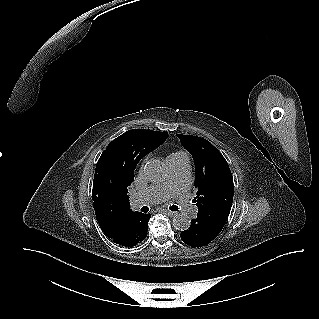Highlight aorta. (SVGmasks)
I'll return each mask as SVG.
<instances>
[{
    "mask_svg": "<svg viewBox=\"0 0 319 319\" xmlns=\"http://www.w3.org/2000/svg\"><path fill=\"white\" fill-rule=\"evenodd\" d=\"M145 176L153 182H159L165 179L167 168L164 162L158 159L150 160L144 166ZM172 224L177 230H187L190 227L191 220L188 215L178 213L173 217Z\"/></svg>",
    "mask_w": 319,
    "mask_h": 319,
    "instance_id": "obj_1",
    "label": "aorta"
}]
</instances>
